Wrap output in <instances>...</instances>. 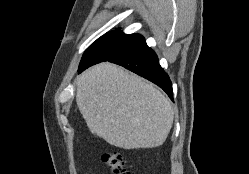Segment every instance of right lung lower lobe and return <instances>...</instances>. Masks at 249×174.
<instances>
[{
  "label": "right lung lower lobe",
  "instance_id": "obj_1",
  "mask_svg": "<svg viewBox=\"0 0 249 174\" xmlns=\"http://www.w3.org/2000/svg\"><path fill=\"white\" fill-rule=\"evenodd\" d=\"M107 61L121 65L125 67L126 69L155 83L156 85L161 87L168 94V96L173 100V91H172L171 81L168 75L159 65V60L157 58L156 53L151 48H149L146 45V43L140 47H137L133 50L125 52L119 55L118 57L109 59ZM96 63H99V62H96ZM90 66L80 68L78 71L82 72L83 70H85L86 68Z\"/></svg>",
  "mask_w": 249,
  "mask_h": 174
}]
</instances>
